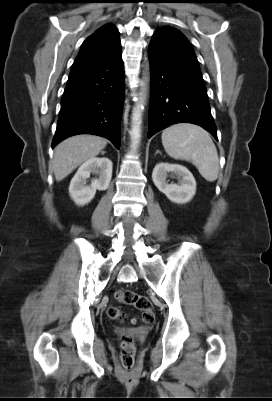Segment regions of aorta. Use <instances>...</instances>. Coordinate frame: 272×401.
<instances>
[{
  "instance_id": "aorta-1",
  "label": "aorta",
  "mask_w": 272,
  "mask_h": 401,
  "mask_svg": "<svg viewBox=\"0 0 272 401\" xmlns=\"http://www.w3.org/2000/svg\"><path fill=\"white\" fill-rule=\"evenodd\" d=\"M145 101V94L144 91H142L139 103L137 105V108L132 116V131H131V136L132 140L134 143L138 142V139L140 138V124H141V111L143 109V104Z\"/></svg>"
}]
</instances>
